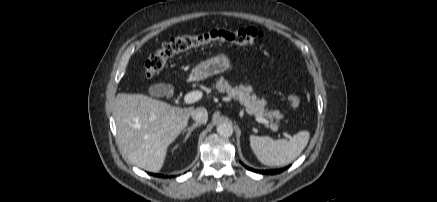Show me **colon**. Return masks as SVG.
Listing matches in <instances>:
<instances>
[{"mask_svg": "<svg viewBox=\"0 0 437 202\" xmlns=\"http://www.w3.org/2000/svg\"><path fill=\"white\" fill-rule=\"evenodd\" d=\"M262 36V33L255 28L239 30L218 28L197 35L174 37L164 42L156 52L146 59L144 72L147 77H154L165 68L171 57L191 48L211 43L247 45L260 40ZM288 102L292 108H298L301 104V98L299 95L292 93L288 96Z\"/></svg>", "mask_w": 437, "mask_h": 202, "instance_id": "colon-1", "label": "colon"}]
</instances>
